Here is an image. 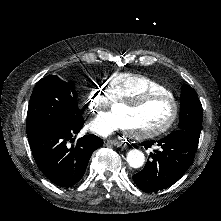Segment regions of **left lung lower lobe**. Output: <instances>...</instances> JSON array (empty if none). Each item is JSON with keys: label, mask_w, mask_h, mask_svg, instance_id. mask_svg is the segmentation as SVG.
<instances>
[{"label": "left lung lower lobe", "mask_w": 221, "mask_h": 221, "mask_svg": "<svg viewBox=\"0 0 221 221\" xmlns=\"http://www.w3.org/2000/svg\"><path fill=\"white\" fill-rule=\"evenodd\" d=\"M199 137L178 129L157 141L161 151L150 153L152 161H148L142 171L133 175L135 184L144 192H155L168 188L177 182L191 166L198 146ZM156 141L143 142L145 148Z\"/></svg>", "instance_id": "obj_1"}]
</instances>
